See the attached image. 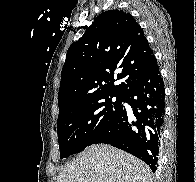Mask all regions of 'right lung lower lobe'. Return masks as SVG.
<instances>
[{
	"mask_svg": "<svg viewBox=\"0 0 196 182\" xmlns=\"http://www.w3.org/2000/svg\"><path fill=\"white\" fill-rule=\"evenodd\" d=\"M124 101L133 108L135 119L123 108L92 144H111L138 157L155 172L165 115V89L156 61L131 84Z\"/></svg>",
	"mask_w": 196,
	"mask_h": 182,
	"instance_id": "98d812e1",
	"label": "right lung lower lobe"
}]
</instances>
